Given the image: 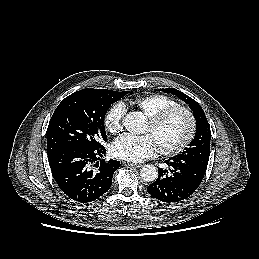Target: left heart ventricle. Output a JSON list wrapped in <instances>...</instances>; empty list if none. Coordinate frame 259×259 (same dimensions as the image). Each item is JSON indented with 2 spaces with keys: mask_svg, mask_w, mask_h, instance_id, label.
Instances as JSON below:
<instances>
[{
  "mask_svg": "<svg viewBox=\"0 0 259 259\" xmlns=\"http://www.w3.org/2000/svg\"><path fill=\"white\" fill-rule=\"evenodd\" d=\"M187 131L188 120L186 116L177 113L156 129H152L148 123L145 132L153 137L158 148H169L178 144L185 137Z\"/></svg>",
  "mask_w": 259,
  "mask_h": 259,
  "instance_id": "left-heart-ventricle-1",
  "label": "left heart ventricle"
}]
</instances>
